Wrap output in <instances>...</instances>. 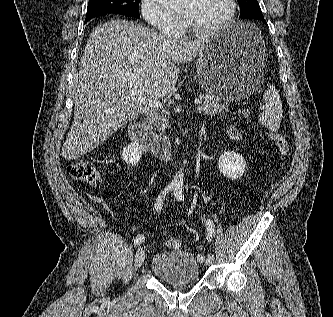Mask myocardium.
Listing matches in <instances>:
<instances>
[{"label":"myocardium","mask_w":333,"mask_h":317,"mask_svg":"<svg viewBox=\"0 0 333 317\" xmlns=\"http://www.w3.org/2000/svg\"><path fill=\"white\" fill-rule=\"evenodd\" d=\"M227 4H228V11L226 15L218 23L207 28L196 27L192 23H190L186 18L183 17V23L186 30L190 34L196 36H208L222 31L231 23L236 14V9H237L236 0H227Z\"/></svg>","instance_id":"1"}]
</instances>
